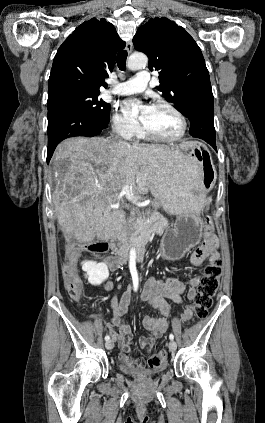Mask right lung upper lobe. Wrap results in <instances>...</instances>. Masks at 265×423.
<instances>
[{
    "mask_svg": "<svg viewBox=\"0 0 265 423\" xmlns=\"http://www.w3.org/2000/svg\"><path fill=\"white\" fill-rule=\"evenodd\" d=\"M114 26L92 18L79 25L59 47L53 61L48 97L71 90L98 92L125 47Z\"/></svg>",
    "mask_w": 265,
    "mask_h": 423,
    "instance_id": "cb5924a9",
    "label": "right lung upper lobe"
}]
</instances>
